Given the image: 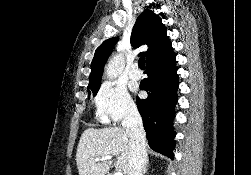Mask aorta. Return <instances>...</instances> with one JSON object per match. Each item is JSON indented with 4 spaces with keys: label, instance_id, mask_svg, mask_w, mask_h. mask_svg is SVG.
Here are the masks:
<instances>
[{
    "label": "aorta",
    "instance_id": "1",
    "mask_svg": "<svg viewBox=\"0 0 251 175\" xmlns=\"http://www.w3.org/2000/svg\"><path fill=\"white\" fill-rule=\"evenodd\" d=\"M124 66V56H122V54H116V56L110 60L109 64H107V78H109V80H115V78H118L119 74H122Z\"/></svg>",
    "mask_w": 251,
    "mask_h": 175
}]
</instances>
